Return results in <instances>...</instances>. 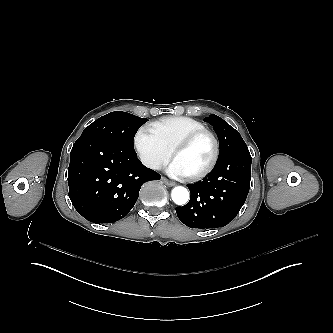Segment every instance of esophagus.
<instances>
[{
	"instance_id": "obj_1",
	"label": "esophagus",
	"mask_w": 333,
	"mask_h": 333,
	"mask_svg": "<svg viewBox=\"0 0 333 333\" xmlns=\"http://www.w3.org/2000/svg\"><path fill=\"white\" fill-rule=\"evenodd\" d=\"M161 179H162V181H163L167 186H169V187H172V186H174V185L176 184L175 182L169 180V179L166 178L165 176H162Z\"/></svg>"
}]
</instances>
